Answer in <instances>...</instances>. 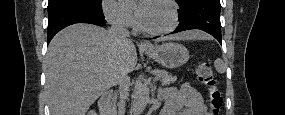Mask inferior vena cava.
<instances>
[{
    "instance_id": "inferior-vena-cava-1",
    "label": "inferior vena cava",
    "mask_w": 285,
    "mask_h": 115,
    "mask_svg": "<svg viewBox=\"0 0 285 115\" xmlns=\"http://www.w3.org/2000/svg\"><path fill=\"white\" fill-rule=\"evenodd\" d=\"M111 36L118 42L128 41L129 31L126 29L125 25L121 21H114L110 29ZM129 78L128 73L124 68H118L114 73V82L119 86L118 90V105L116 109L118 110V115H125V109H123V104L128 101L129 90H127Z\"/></svg>"
}]
</instances>
